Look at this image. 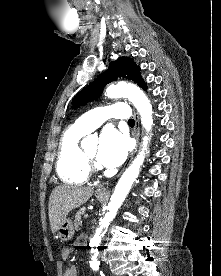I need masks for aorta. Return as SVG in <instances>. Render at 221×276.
Here are the masks:
<instances>
[{
    "label": "aorta",
    "mask_w": 221,
    "mask_h": 276,
    "mask_svg": "<svg viewBox=\"0 0 221 276\" xmlns=\"http://www.w3.org/2000/svg\"><path fill=\"white\" fill-rule=\"evenodd\" d=\"M106 96L109 98H120L126 97L130 102L133 103L137 111L141 116V123L143 128L147 132L151 131L153 126V118H152V106L150 104L149 99L144 94V92L131 84L126 83H118L115 85H110L106 89ZM149 137L145 136L142 142V149L139 151L138 155L131 163V165L125 170L121 178L119 179L113 195L111 197L110 203L108 204V212L105 214L103 219L100 220V224L98 229L96 230L95 235L91 239V261L90 263L98 266L99 261L98 257V249L101 242V233L105 227H108L110 222L114 219L118 209L121 207L124 202L126 196L128 195L132 184L136 180L139 175L140 167L142 166L145 159V150L149 141Z\"/></svg>",
    "instance_id": "obj_1"
}]
</instances>
